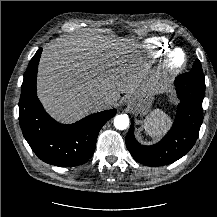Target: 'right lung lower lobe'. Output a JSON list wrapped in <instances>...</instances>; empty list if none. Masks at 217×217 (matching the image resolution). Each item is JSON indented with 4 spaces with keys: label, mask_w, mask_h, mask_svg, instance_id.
<instances>
[{
    "label": "right lung lower lobe",
    "mask_w": 217,
    "mask_h": 217,
    "mask_svg": "<svg viewBox=\"0 0 217 217\" xmlns=\"http://www.w3.org/2000/svg\"><path fill=\"white\" fill-rule=\"evenodd\" d=\"M40 48L31 59L21 87L19 122L23 135L33 152L44 162L59 166H77L93 155L101 127L116 110L92 114L77 123L64 125L55 122L37 98L36 76Z\"/></svg>",
    "instance_id": "1"
}]
</instances>
